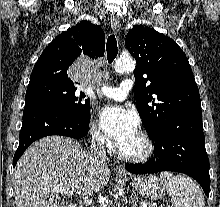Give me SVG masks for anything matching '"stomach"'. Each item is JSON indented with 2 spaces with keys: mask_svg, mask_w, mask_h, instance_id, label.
<instances>
[{
  "mask_svg": "<svg viewBox=\"0 0 220 207\" xmlns=\"http://www.w3.org/2000/svg\"><path fill=\"white\" fill-rule=\"evenodd\" d=\"M126 180H128L125 177ZM131 184L143 196L150 199L161 198L165 193V183L155 175L132 178Z\"/></svg>",
  "mask_w": 220,
  "mask_h": 207,
  "instance_id": "obj_1",
  "label": "stomach"
}]
</instances>
